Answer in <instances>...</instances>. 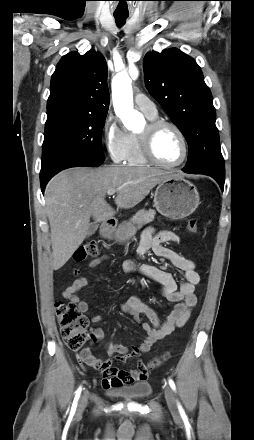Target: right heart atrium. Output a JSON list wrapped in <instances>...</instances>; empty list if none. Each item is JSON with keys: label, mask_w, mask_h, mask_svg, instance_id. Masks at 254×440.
I'll return each instance as SVG.
<instances>
[{"label": "right heart atrium", "mask_w": 254, "mask_h": 440, "mask_svg": "<svg viewBox=\"0 0 254 440\" xmlns=\"http://www.w3.org/2000/svg\"><path fill=\"white\" fill-rule=\"evenodd\" d=\"M103 138L111 159L114 162L126 161L131 147L132 135L123 129L111 115H108L104 121Z\"/></svg>", "instance_id": "obj_1"}]
</instances>
